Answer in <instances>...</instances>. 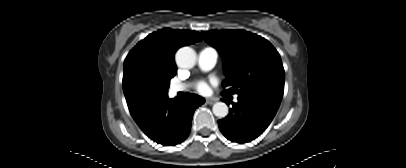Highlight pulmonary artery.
<instances>
[{"mask_svg": "<svg viewBox=\"0 0 406 168\" xmlns=\"http://www.w3.org/2000/svg\"><path fill=\"white\" fill-rule=\"evenodd\" d=\"M218 54L213 48H204L198 54V64L202 70H210L217 63ZM186 85H172L170 91L174 94L184 91ZM237 100V98L235 99Z\"/></svg>", "mask_w": 406, "mask_h": 168, "instance_id": "1", "label": "pulmonary artery"}]
</instances>
